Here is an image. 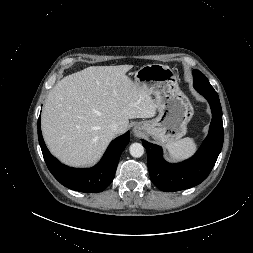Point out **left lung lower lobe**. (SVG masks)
<instances>
[{
	"label": "left lung lower lobe",
	"instance_id": "1",
	"mask_svg": "<svg viewBox=\"0 0 253 253\" xmlns=\"http://www.w3.org/2000/svg\"><path fill=\"white\" fill-rule=\"evenodd\" d=\"M199 93L210 104L212 121L208 136L193 157L178 164H170L163 159L160 146L142 140L143 146L147 149L151 181L164 192L188 189L203 182L214 167L222 149L224 134L219 97L204 92Z\"/></svg>",
	"mask_w": 253,
	"mask_h": 253
}]
</instances>
